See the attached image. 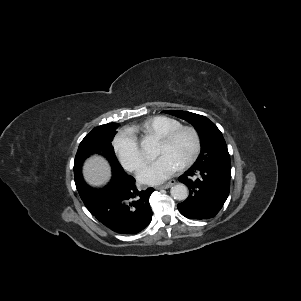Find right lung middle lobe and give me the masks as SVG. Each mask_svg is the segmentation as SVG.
<instances>
[{"mask_svg":"<svg viewBox=\"0 0 301 301\" xmlns=\"http://www.w3.org/2000/svg\"><path fill=\"white\" fill-rule=\"evenodd\" d=\"M118 123H109L94 128L81 141L74 162L75 178L81 180V167L84 160L92 154L106 157L113 168H122L119 164L111 144L118 128Z\"/></svg>","mask_w":301,"mask_h":301,"instance_id":"obj_1","label":"right lung middle lobe"}]
</instances>
